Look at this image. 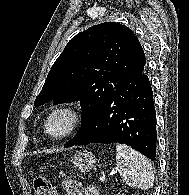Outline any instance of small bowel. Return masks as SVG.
I'll use <instances>...</instances> for the list:
<instances>
[{
  "label": "small bowel",
  "mask_w": 189,
  "mask_h": 195,
  "mask_svg": "<svg viewBox=\"0 0 189 195\" xmlns=\"http://www.w3.org/2000/svg\"><path fill=\"white\" fill-rule=\"evenodd\" d=\"M85 195H99V192L96 187L89 186L85 190Z\"/></svg>",
  "instance_id": "c3829d8e"
}]
</instances>
